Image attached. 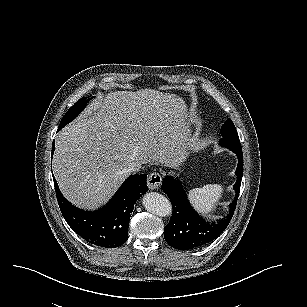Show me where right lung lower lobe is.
Instances as JSON below:
<instances>
[{
    "instance_id": "1",
    "label": "right lung lower lobe",
    "mask_w": 307,
    "mask_h": 307,
    "mask_svg": "<svg viewBox=\"0 0 307 307\" xmlns=\"http://www.w3.org/2000/svg\"><path fill=\"white\" fill-rule=\"evenodd\" d=\"M55 145L52 144V154ZM54 179L61 213L68 225L91 245L115 248L128 239L130 214L139 196L147 192V174L130 176L103 208L87 212L78 209L61 194Z\"/></svg>"
}]
</instances>
